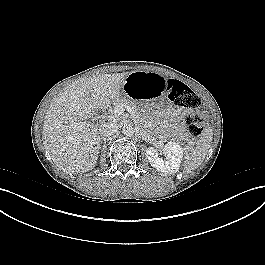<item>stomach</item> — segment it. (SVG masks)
Listing matches in <instances>:
<instances>
[{"instance_id": "0dacf381", "label": "stomach", "mask_w": 265, "mask_h": 265, "mask_svg": "<svg viewBox=\"0 0 265 265\" xmlns=\"http://www.w3.org/2000/svg\"><path fill=\"white\" fill-rule=\"evenodd\" d=\"M166 79L154 72H132L123 85L126 96L132 97L137 107L152 111L161 106L165 98Z\"/></svg>"}]
</instances>
